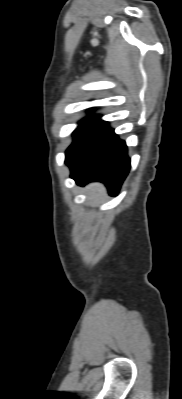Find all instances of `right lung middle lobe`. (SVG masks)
I'll use <instances>...</instances> for the list:
<instances>
[{
    "label": "right lung middle lobe",
    "mask_w": 182,
    "mask_h": 399,
    "mask_svg": "<svg viewBox=\"0 0 182 399\" xmlns=\"http://www.w3.org/2000/svg\"><path fill=\"white\" fill-rule=\"evenodd\" d=\"M87 118L83 119V121H85ZM83 121H81L80 123H82Z\"/></svg>",
    "instance_id": "right-lung-middle-lobe-1"
}]
</instances>
